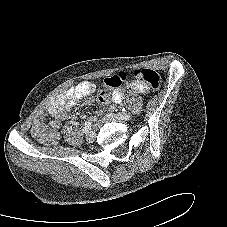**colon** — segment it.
Segmentation results:
<instances>
[{"label":"colon","instance_id":"5ec220e1","mask_svg":"<svg viewBox=\"0 0 227 227\" xmlns=\"http://www.w3.org/2000/svg\"><path fill=\"white\" fill-rule=\"evenodd\" d=\"M134 77L139 81L145 83L151 90H158L161 86V77L158 72L149 68H141L134 71ZM126 79V75L123 72H119L105 79L104 85L106 88H114L121 85ZM98 101L104 104L107 101L106 92H101L98 96ZM36 138L40 141L48 139V134H36Z\"/></svg>","mask_w":227,"mask_h":227}]
</instances>
